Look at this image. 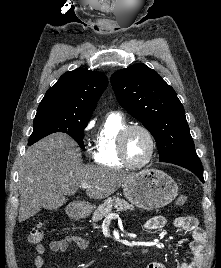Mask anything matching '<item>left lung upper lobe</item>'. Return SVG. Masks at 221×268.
<instances>
[{
    "label": "left lung upper lobe",
    "instance_id": "obj_1",
    "mask_svg": "<svg viewBox=\"0 0 221 268\" xmlns=\"http://www.w3.org/2000/svg\"><path fill=\"white\" fill-rule=\"evenodd\" d=\"M111 84L119 104L153 135L160 161L195 153L183 105L157 72L134 64L115 72Z\"/></svg>",
    "mask_w": 221,
    "mask_h": 268
}]
</instances>
